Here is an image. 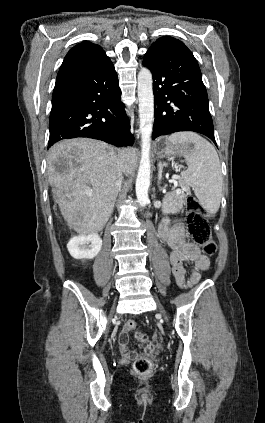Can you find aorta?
I'll return each mask as SVG.
<instances>
[{"label": "aorta", "mask_w": 265, "mask_h": 423, "mask_svg": "<svg viewBox=\"0 0 265 423\" xmlns=\"http://www.w3.org/2000/svg\"><path fill=\"white\" fill-rule=\"evenodd\" d=\"M138 99L141 132V159L136 179V196L141 207L149 201L150 149L154 120L153 80L149 69L143 67L138 73Z\"/></svg>", "instance_id": "1"}]
</instances>
